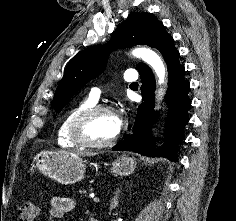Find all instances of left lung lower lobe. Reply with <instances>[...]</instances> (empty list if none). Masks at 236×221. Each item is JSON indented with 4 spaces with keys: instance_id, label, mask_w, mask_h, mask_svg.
<instances>
[{
    "instance_id": "1",
    "label": "left lung lower lobe",
    "mask_w": 236,
    "mask_h": 221,
    "mask_svg": "<svg viewBox=\"0 0 236 221\" xmlns=\"http://www.w3.org/2000/svg\"><path fill=\"white\" fill-rule=\"evenodd\" d=\"M154 47L162 53L169 73L166 143L163 148L157 150L149 131L157 116L153 111L155 78L151 69L144 64L138 69L142 82L143 103L137 109L133 134L113 147V150L133 151L145 156H161L175 161L177 143L182 140L183 128L189 120L187 110L191 101L187 97V91L190 85L184 78L185 68L178 61L179 52L174 47L173 38L165 33Z\"/></svg>"
}]
</instances>
